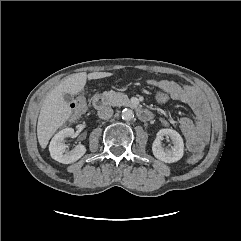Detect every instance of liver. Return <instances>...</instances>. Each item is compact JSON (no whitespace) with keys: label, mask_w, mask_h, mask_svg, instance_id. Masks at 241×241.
<instances>
[{"label":"liver","mask_w":241,"mask_h":241,"mask_svg":"<svg viewBox=\"0 0 241 241\" xmlns=\"http://www.w3.org/2000/svg\"><path fill=\"white\" fill-rule=\"evenodd\" d=\"M113 75L110 72L76 73L63 79L44 100L37 123V137L40 146L46 148L49 140L63 126L72 114L64 100L65 93L77 94L85 86L87 79H100Z\"/></svg>","instance_id":"6515ba94"}]
</instances>
